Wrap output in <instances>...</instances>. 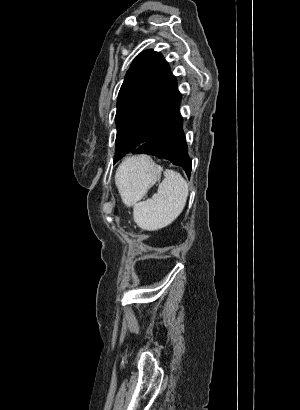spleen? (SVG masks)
I'll list each match as a JSON object with an SVG mask.
<instances>
[{"mask_svg":"<svg viewBox=\"0 0 300 410\" xmlns=\"http://www.w3.org/2000/svg\"><path fill=\"white\" fill-rule=\"evenodd\" d=\"M138 158L125 160L117 169L115 183L123 199L129 186V176L137 168ZM164 180L152 198L136 203L135 223L143 230L155 231L171 224L183 211L188 197V184L182 175L166 169Z\"/></svg>","mask_w":300,"mask_h":410,"instance_id":"1","label":"spleen"}]
</instances>
